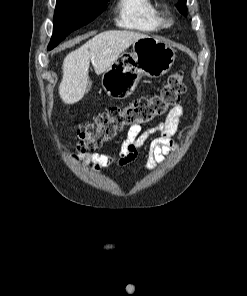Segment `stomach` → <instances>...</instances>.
I'll return each mask as SVG.
<instances>
[{
  "instance_id": "0dacf381",
  "label": "stomach",
  "mask_w": 247,
  "mask_h": 296,
  "mask_svg": "<svg viewBox=\"0 0 247 296\" xmlns=\"http://www.w3.org/2000/svg\"><path fill=\"white\" fill-rule=\"evenodd\" d=\"M175 61V50L165 41L148 36L133 43V51L121 54L103 73L101 83L114 99L129 97L143 76L158 78Z\"/></svg>"
}]
</instances>
